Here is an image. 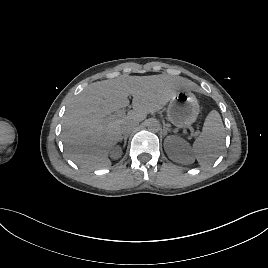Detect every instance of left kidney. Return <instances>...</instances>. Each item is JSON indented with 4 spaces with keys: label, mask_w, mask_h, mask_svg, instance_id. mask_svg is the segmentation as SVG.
<instances>
[{
    "label": "left kidney",
    "mask_w": 268,
    "mask_h": 268,
    "mask_svg": "<svg viewBox=\"0 0 268 268\" xmlns=\"http://www.w3.org/2000/svg\"><path fill=\"white\" fill-rule=\"evenodd\" d=\"M165 151L170 159L181 164L194 162V155L189 144L182 138L169 136L165 139Z\"/></svg>",
    "instance_id": "obj_1"
}]
</instances>
